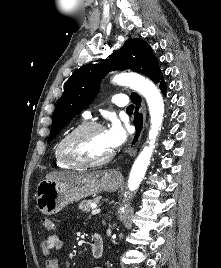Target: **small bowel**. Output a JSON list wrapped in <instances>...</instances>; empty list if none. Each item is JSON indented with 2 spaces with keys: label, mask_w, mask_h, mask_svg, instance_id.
<instances>
[{
  "label": "small bowel",
  "mask_w": 221,
  "mask_h": 268,
  "mask_svg": "<svg viewBox=\"0 0 221 268\" xmlns=\"http://www.w3.org/2000/svg\"><path fill=\"white\" fill-rule=\"evenodd\" d=\"M62 246L61 236L54 230L48 232L46 238L41 242V251L47 257L43 262V268H59L58 259L49 256L52 252L60 250Z\"/></svg>",
  "instance_id": "c3829d8e"
}]
</instances>
